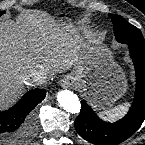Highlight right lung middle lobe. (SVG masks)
<instances>
[{
  "label": "right lung middle lobe",
  "mask_w": 145,
  "mask_h": 145,
  "mask_svg": "<svg viewBox=\"0 0 145 145\" xmlns=\"http://www.w3.org/2000/svg\"><path fill=\"white\" fill-rule=\"evenodd\" d=\"M5 12L4 11H0V16L2 15V14H4Z\"/></svg>",
  "instance_id": "obj_1"
}]
</instances>
